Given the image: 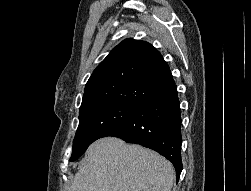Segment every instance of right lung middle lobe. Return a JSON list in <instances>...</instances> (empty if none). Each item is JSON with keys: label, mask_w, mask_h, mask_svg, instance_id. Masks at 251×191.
Segmentation results:
<instances>
[{"label": "right lung middle lobe", "mask_w": 251, "mask_h": 191, "mask_svg": "<svg viewBox=\"0 0 251 191\" xmlns=\"http://www.w3.org/2000/svg\"><path fill=\"white\" fill-rule=\"evenodd\" d=\"M140 108L141 106L135 104L110 102L80 111L70 161L77 160L91 143L102 138Z\"/></svg>", "instance_id": "1"}]
</instances>
